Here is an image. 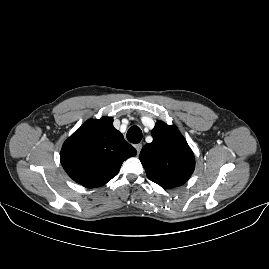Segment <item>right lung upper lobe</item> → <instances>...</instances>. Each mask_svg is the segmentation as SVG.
<instances>
[{"instance_id":"1","label":"right lung upper lobe","mask_w":269,"mask_h":269,"mask_svg":"<svg viewBox=\"0 0 269 269\" xmlns=\"http://www.w3.org/2000/svg\"><path fill=\"white\" fill-rule=\"evenodd\" d=\"M135 148L114 128L112 117L86 121L63 144L60 161L67 174L87 188L100 187L115 177Z\"/></svg>"}]
</instances>
